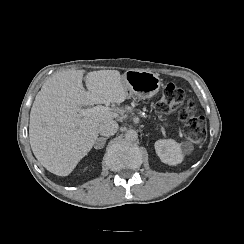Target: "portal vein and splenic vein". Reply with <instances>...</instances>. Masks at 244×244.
Masks as SVG:
<instances>
[{"mask_svg": "<svg viewBox=\"0 0 244 244\" xmlns=\"http://www.w3.org/2000/svg\"><path fill=\"white\" fill-rule=\"evenodd\" d=\"M109 111H111V108H109L107 106H101V105L95 106L93 108H87V109L78 108L77 109L78 115L80 117L90 116V115L98 114V113H106Z\"/></svg>", "mask_w": 244, "mask_h": 244, "instance_id": "obj_1", "label": "portal vein and splenic vein"}]
</instances>
